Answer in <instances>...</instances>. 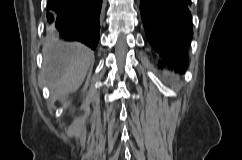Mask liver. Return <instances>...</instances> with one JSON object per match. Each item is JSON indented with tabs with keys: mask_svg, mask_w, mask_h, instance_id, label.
<instances>
[{
	"mask_svg": "<svg viewBox=\"0 0 242 160\" xmlns=\"http://www.w3.org/2000/svg\"><path fill=\"white\" fill-rule=\"evenodd\" d=\"M43 54L42 77L58 98L78 90L94 58L88 47L58 40L47 41Z\"/></svg>",
	"mask_w": 242,
	"mask_h": 160,
	"instance_id": "obj_1",
	"label": "liver"
}]
</instances>
